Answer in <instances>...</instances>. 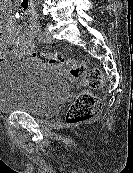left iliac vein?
<instances>
[{
  "mask_svg": "<svg viewBox=\"0 0 133 173\" xmlns=\"http://www.w3.org/2000/svg\"><path fill=\"white\" fill-rule=\"evenodd\" d=\"M43 34H44V42L52 43L54 41V38H53L51 32L48 30V28H46L44 30Z\"/></svg>",
  "mask_w": 133,
  "mask_h": 173,
  "instance_id": "obj_1",
  "label": "left iliac vein"
}]
</instances>
